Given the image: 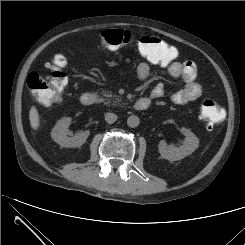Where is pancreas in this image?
<instances>
[{
	"label": "pancreas",
	"instance_id": "1",
	"mask_svg": "<svg viewBox=\"0 0 245 245\" xmlns=\"http://www.w3.org/2000/svg\"><path fill=\"white\" fill-rule=\"evenodd\" d=\"M103 96L105 97V99H103L102 101H105L106 104L110 103V99L109 98H113L114 99V103L120 102L121 100L116 96V95H112L111 92L109 91H103Z\"/></svg>",
	"mask_w": 245,
	"mask_h": 245
}]
</instances>
